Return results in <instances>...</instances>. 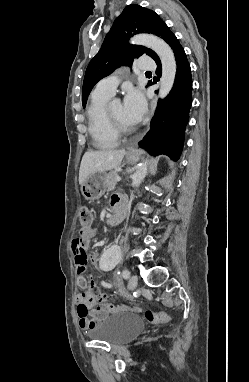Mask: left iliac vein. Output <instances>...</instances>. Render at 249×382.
<instances>
[{
	"label": "left iliac vein",
	"mask_w": 249,
	"mask_h": 382,
	"mask_svg": "<svg viewBox=\"0 0 249 382\" xmlns=\"http://www.w3.org/2000/svg\"><path fill=\"white\" fill-rule=\"evenodd\" d=\"M137 285H138V277L136 275H132L128 281V285H127L128 290L132 291L136 289Z\"/></svg>",
	"instance_id": "1"
}]
</instances>
